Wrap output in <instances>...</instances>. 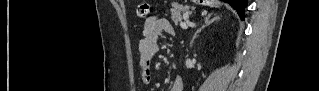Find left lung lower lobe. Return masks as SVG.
<instances>
[{"label": "left lung lower lobe", "instance_id": "0a47b994", "mask_svg": "<svg viewBox=\"0 0 319 91\" xmlns=\"http://www.w3.org/2000/svg\"><path fill=\"white\" fill-rule=\"evenodd\" d=\"M228 2L239 14L241 19L244 20V7L247 4V0H222Z\"/></svg>", "mask_w": 319, "mask_h": 91}]
</instances>
